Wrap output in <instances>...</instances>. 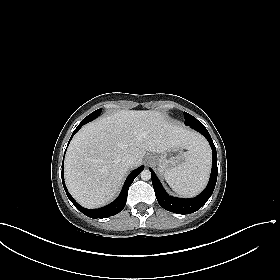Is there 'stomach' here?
Here are the masks:
<instances>
[{"mask_svg": "<svg viewBox=\"0 0 280 280\" xmlns=\"http://www.w3.org/2000/svg\"><path fill=\"white\" fill-rule=\"evenodd\" d=\"M187 152H182L181 147L170 148L167 151L153 156L152 164L157 168L159 173L165 174L173 167L180 165L186 160Z\"/></svg>", "mask_w": 280, "mask_h": 280, "instance_id": "0dacf381", "label": "stomach"}]
</instances>
